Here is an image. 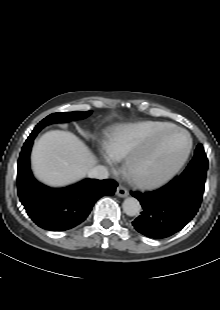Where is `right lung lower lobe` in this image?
<instances>
[{
  "instance_id": "98d812e1",
  "label": "right lung lower lobe",
  "mask_w": 220,
  "mask_h": 310,
  "mask_svg": "<svg viewBox=\"0 0 220 310\" xmlns=\"http://www.w3.org/2000/svg\"><path fill=\"white\" fill-rule=\"evenodd\" d=\"M37 133L32 131L19 156V199L39 227L50 231L72 229L87 218L99 198L114 194L117 183L111 179H85L61 189H52L39 183L30 170V151Z\"/></svg>"
}]
</instances>
